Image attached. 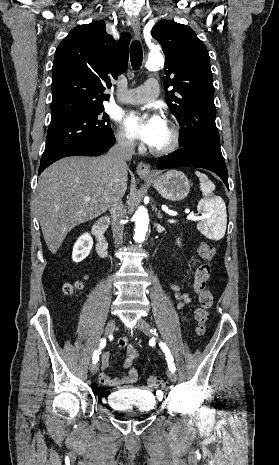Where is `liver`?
Masks as SVG:
<instances>
[{
    "label": "liver",
    "instance_id": "1",
    "mask_svg": "<svg viewBox=\"0 0 279 465\" xmlns=\"http://www.w3.org/2000/svg\"><path fill=\"white\" fill-rule=\"evenodd\" d=\"M128 173L120 175L119 190H127ZM113 174L101 157L72 156L60 159L40 175L36 209L48 249L55 254L75 226L110 208ZM90 197L89 201L85 198Z\"/></svg>",
    "mask_w": 279,
    "mask_h": 465
}]
</instances>
